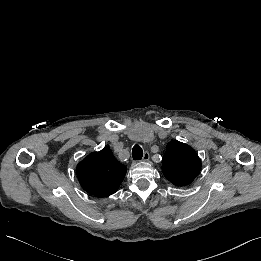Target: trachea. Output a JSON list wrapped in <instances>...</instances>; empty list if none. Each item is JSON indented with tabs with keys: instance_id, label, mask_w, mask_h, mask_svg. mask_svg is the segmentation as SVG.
I'll return each mask as SVG.
<instances>
[{
	"instance_id": "obj_1",
	"label": "trachea",
	"mask_w": 261,
	"mask_h": 261,
	"mask_svg": "<svg viewBox=\"0 0 261 261\" xmlns=\"http://www.w3.org/2000/svg\"><path fill=\"white\" fill-rule=\"evenodd\" d=\"M132 157L135 161L141 160L143 157V150L140 146L135 145L132 150Z\"/></svg>"
}]
</instances>
